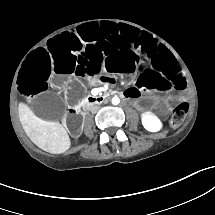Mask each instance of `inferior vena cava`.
Wrapping results in <instances>:
<instances>
[{
    "label": "inferior vena cava",
    "instance_id": "1",
    "mask_svg": "<svg viewBox=\"0 0 215 215\" xmlns=\"http://www.w3.org/2000/svg\"><path fill=\"white\" fill-rule=\"evenodd\" d=\"M99 109H100V106L94 105V106L91 107L90 111H91V113L95 114V113H97L99 111Z\"/></svg>",
    "mask_w": 215,
    "mask_h": 215
}]
</instances>
